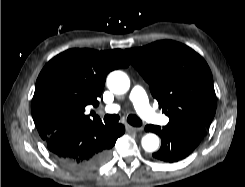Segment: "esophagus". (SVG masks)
<instances>
[{"mask_svg": "<svg viewBox=\"0 0 245 187\" xmlns=\"http://www.w3.org/2000/svg\"><path fill=\"white\" fill-rule=\"evenodd\" d=\"M126 130L129 131V132H138V131H142L143 128L134 127V126H131V125L127 124L126 125Z\"/></svg>", "mask_w": 245, "mask_h": 187, "instance_id": "34e87169", "label": "esophagus"}]
</instances>
